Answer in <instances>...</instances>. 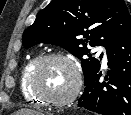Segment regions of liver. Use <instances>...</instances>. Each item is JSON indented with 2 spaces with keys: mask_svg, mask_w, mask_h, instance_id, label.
<instances>
[{
  "mask_svg": "<svg viewBox=\"0 0 131 115\" xmlns=\"http://www.w3.org/2000/svg\"><path fill=\"white\" fill-rule=\"evenodd\" d=\"M14 115H41V114L34 110L21 109L17 111Z\"/></svg>",
  "mask_w": 131,
  "mask_h": 115,
  "instance_id": "6515ba94",
  "label": "liver"
}]
</instances>
